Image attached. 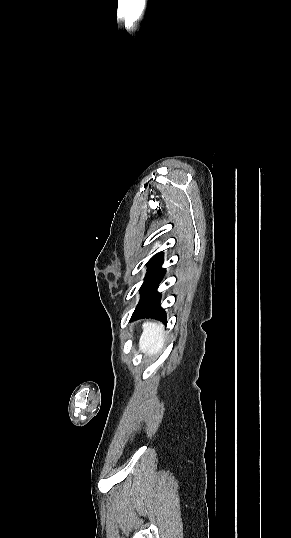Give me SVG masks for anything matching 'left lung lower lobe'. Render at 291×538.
Returning a JSON list of instances; mask_svg holds the SVG:
<instances>
[{"label":"left lung lower lobe","mask_w":291,"mask_h":538,"mask_svg":"<svg viewBox=\"0 0 291 538\" xmlns=\"http://www.w3.org/2000/svg\"><path fill=\"white\" fill-rule=\"evenodd\" d=\"M163 255L156 258L149 266L145 281L142 284L141 299L134 310L131 320L139 318L157 319L166 322V312L160 306L161 293L157 292L158 285L165 273L161 268Z\"/></svg>","instance_id":"obj_1"}]
</instances>
